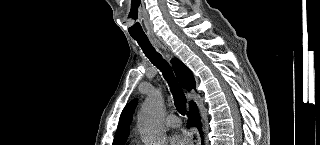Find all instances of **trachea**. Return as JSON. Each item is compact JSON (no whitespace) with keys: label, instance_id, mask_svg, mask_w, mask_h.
<instances>
[{"label":"trachea","instance_id":"3493384b","mask_svg":"<svg viewBox=\"0 0 320 145\" xmlns=\"http://www.w3.org/2000/svg\"><path fill=\"white\" fill-rule=\"evenodd\" d=\"M133 38L137 41L145 56L162 72L173 94L176 109L181 115H185L186 97L181 86L178 84L176 78L174 77L169 64L162 58V56L158 52L155 51L147 37L133 36Z\"/></svg>","mask_w":320,"mask_h":145}]
</instances>
